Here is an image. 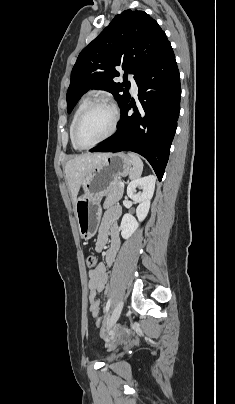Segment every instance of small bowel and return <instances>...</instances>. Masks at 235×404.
I'll return each mask as SVG.
<instances>
[{
	"mask_svg": "<svg viewBox=\"0 0 235 404\" xmlns=\"http://www.w3.org/2000/svg\"><path fill=\"white\" fill-rule=\"evenodd\" d=\"M121 209L117 206L109 208L101 221L97 239L95 242V250L103 252L104 262L89 271V309L93 316L100 313V299L98 295L104 291L108 282L107 266H110L120 248V237L118 228V218Z\"/></svg>",
	"mask_w": 235,
	"mask_h": 404,
	"instance_id": "1",
	"label": "small bowel"
}]
</instances>
